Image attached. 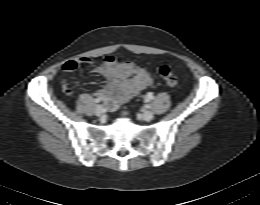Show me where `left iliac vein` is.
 Listing matches in <instances>:
<instances>
[{"instance_id":"1","label":"left iliac vein","mask_w":260,"mask_h":205,"mask_svg":"<svg viewBox=\"0 0 260 205\" xmlns=\"http://www.w3.org/2000/svg\"><path fill=\"white\" fill-rule=\"evenodd\" d=\"M142 118L145 121H151L153 119V113L149 110H146V111L143 112Z\"/></svg>"}]
</instances>
